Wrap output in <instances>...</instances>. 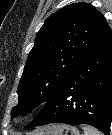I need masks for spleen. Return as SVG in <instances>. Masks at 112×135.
<instances>
[{"instance_id":"1","label":"spleen","mask_w":112,"mask_h":135,"mask_svg":"<svg viewBox=\"0 0 112 135\" xmlns=\"http://www.w3.org/2000/svg\"><path fill=\"white\" fill-rule=\"evenodd\" d=\"M83 130H84V135H101V133L98 130L92 127L85 126L83 127Z\"/></svg>"}]
</instances>
